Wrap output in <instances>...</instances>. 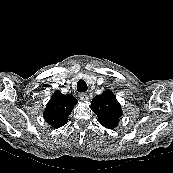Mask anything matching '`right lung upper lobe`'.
<instances>
[{
  "label": "right lung upper lobe",
  "mask_w": 173,
  "mask_h": 173,
  "mask_svg": "<svg viewBox=\"0 0 173 173\" xmlns=\"http://www.w3.org/2000/svg\"><path fill=\"white\" fill-rule=\"evenodd\" d=\"M77 100L71 94H62L56 91L44 111V119L52 127L60 128L68 122Z\"/></svg>",
  "instance_id": "obj_1"
}]
</instances>
